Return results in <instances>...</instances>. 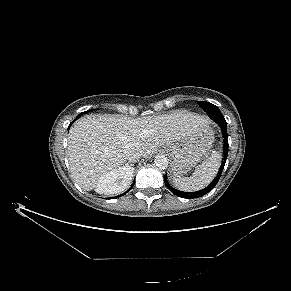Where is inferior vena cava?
Masks as SVG:
<instances>
[{"label": "inferior vena cava", "instance_id": "1", "mask_svg": "<svg viewBox=\"0 0 291 291\" xmlns=\"http://www.w3.org/2000/svg\"><path fill=\"white\" fill-rule=\"evenodd\" d=\"M125 152L127 159L130 161L137 160L142 156V150L137 146H130L125 150Z\"/></svg>", "mask_w": 291, "mask_h": 291}]
</instances>
